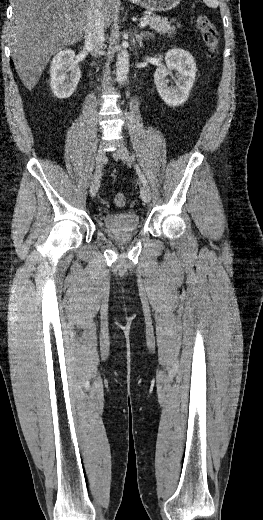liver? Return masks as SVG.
I'll return each mask as SVG.
<instances>
[{
	"label": "liver",
	"mask_w": 263,
	"mask_h": 520,
	"mask_svg": "<svg viewBox=\"0 0 263 520\" xmlns=\"http://www.w3.org/2000/svg\"><path fill=\"white\" fill-rule=\"evenodd\" d=\"M118 1L102 0L106 27L118 13ZM89 7L90 0H13L12 57L28 90L36 86L52 55L82 39Z\"/></svg>",
	"instance_id": "1"
}]
</instances>
